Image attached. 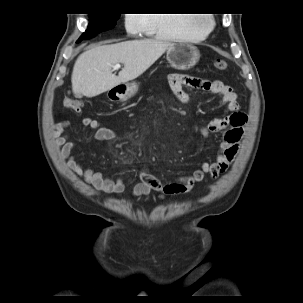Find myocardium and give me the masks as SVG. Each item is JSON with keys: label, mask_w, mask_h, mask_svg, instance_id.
Wrapping results in <instances>:
<instances>
[{"label": "myocardium", "mask_w": 303, "mask_h": 303, "mask_svg": "<svg viewBox=\"0 0 303 303\" xmlns=\"http://www.w3.org/2000/svg\"><path fill=\"white\" fill-rule=\"evenodd\" d=\"M195 29L200 37L207 36L215 28L216 21L213 16L194 17Z\"/></svg>", "instance_id": "f54148a6"}]
</instances>
